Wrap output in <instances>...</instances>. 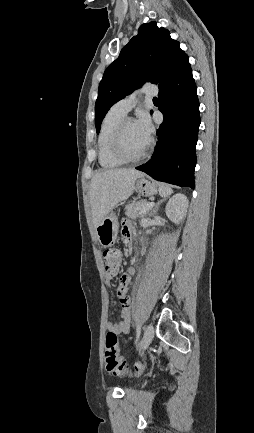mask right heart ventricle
Segmentation results:
<instances>
[{"label": "right heart ventricle", "mask_w": 254, "mask_h": 433, "mask_svg": "<svg viewBox=\"0 0 254 433\" xmlns=\"http://www.w3.org/2000/svg\"><path fill=\"white\" fill-rule=\"evenodd\" d=\"M124 117V114L110 110L102 122L97 146L99 164L105 169H115L123 164L113 153L112 142L115 130Z\"/></svg>", "instance_id": "1"}]
</instances>
